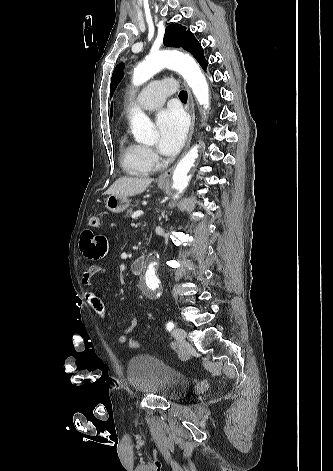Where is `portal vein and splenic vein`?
Listing matches in <instances>:
<instances>
[{
	"label": "portal vein and splenic vein",
	"instance_id": "1",
	"mask_svg": "<svg viewBox=\"0 0 333 471\" xmlns=\"http://www.w3.org/2000/svg\"><path fill=\"white\" fill-rule=\"evenodd\" d=\"M143 214H144V212H143L142 210H137V211H135V212L132 214L131 217H132V218H137V217H139V216H141V215H143Z\"/></svg>",
	"mask_w": 333,
	"mask_h": 471
}]
</instances>
